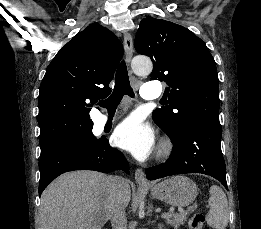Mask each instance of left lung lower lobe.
Masks as SVG:
<instances>
[{
  "mask_svg": "<svg viewBox=\"0 0 261 229\" xmlns=\"http://www.w3.org/2000/svg\"><path fill=\"white\" fill-rule=\"evenodd\" d=\"M220 127L197 121L189 124L174 143L172 157L146 170V178L155 180L185 173H202L219 180L226 189V169L221 151Z\"/></svg>",
  "mask_w": 261,
  "mask_h": 229,
  "instance_id": "1",
  "label": "left lung lower lobe"
}]
</instances>
